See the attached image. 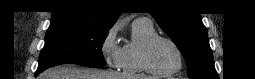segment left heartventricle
Returning a JSON list of instances; mask_svg holds the SVG:
<instances>
[{
    "mask_svg": "<svg viewBox=\"0 0 255 79\" xmlns=\"http://www.w3.org/2000/svg\"><path fill=\"white\" fill-rule=\"evenodd\" d=\"M152 65L160 71H170L178 65V55L175 49L166 41H157L150 51Z\"/></svg>",
    "mask_w": 255,
    "mask_h": 79,
    "instance_id": "left-heart-ventricle-1",
    "label": "left heart ventricle"
}]
</instances>
